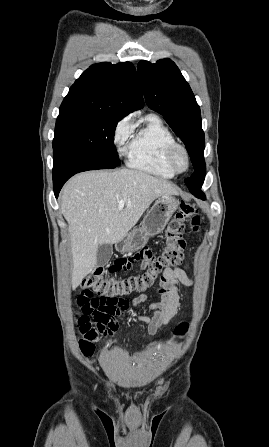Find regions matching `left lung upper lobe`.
<instances>
[{
	"label": "left lung upper lobe",
	"mask_w": 269,
	"mask_h": 447,
	"mask_svg": "<svg viewBox=\"0 0 269 447\" xmlns=\"http://www.w3.org/2000/svg\"><path fill=\"white\" fill-rule=\"evenodd\" d=\"M139 81L147 105L160 113L187 147L195 172L185 179L189 190L201 187L206 175L205 139L200 108L189 84L170 59L140 61Z\"/></svg>",
	"instance_id": "left-lung-upper-lobe-1"
}]
</instances>
